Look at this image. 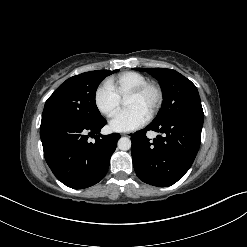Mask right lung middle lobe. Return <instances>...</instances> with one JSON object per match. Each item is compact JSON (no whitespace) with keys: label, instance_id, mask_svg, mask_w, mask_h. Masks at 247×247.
<instances>
[{"label":"right lung middle lobe","instance_id":"dd1d6c3e","mask_svg":"<svg viewBox=\"0 0 247 247\" xmlns=\"http://www.w3.org/2000/svg\"><path fill=\"white\" fill-rule=\"evenodd\" d=\"M117 70H98L73 76L63 82L47 99L41 124L65 120L93 124L101 120L95 94L100 82Z\"/></svg>","mask_w":247,"mask_h":247}]
</instances>
